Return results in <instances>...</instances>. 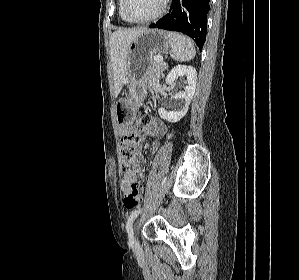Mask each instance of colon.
Listing matches in <instances>:
<instances>
[{
	"label": "colon",
	"instance_id": "colon-1",
	"mask_svg": "<svg viewBox=\"0 0 299 280\" xmlns=\"http://www.w3.org/2000/svg\"><path fill=\"white\" fill-rule=\"evenodd\" d=\"M150 118L148 116L141 117L136 125H132L129 135L122 138L121 144V156L123 160V168L128 169L131 167L132 160L135 153V147L138 141L137 136H141L142 133H146V128L149 124ZM146 167L142 169L143 174L146 171ZM143 189L138 183H133L130 190L124 195V206L131 210L137 207L142 201Z\"/></svg>",
	"mask_w": 299,
	"mask_h": 280
}]
</instances>
